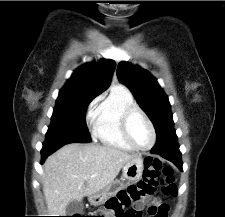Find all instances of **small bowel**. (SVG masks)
I'll list each match as a JSON object with an SVG mask.
<instances>
[{
    "instance_id": "obj_1",
    "label": "small bowel",
    "mask_w": 225,
    "mask_h": 217,
    "mask_svg": "<svg viewBox=\"0 0 225 217\" xmlns=\"http://www.w3.org/2000/svg\"><path fill=\"white\" fill-rule=\"evenodd\" d=\"M150 204H151V206H155V207H158V206L162 205L160 203V201L157 200V199H151L150 200ZM142 206H143V203L142 202H138V203L135 204L134 207L139 211L142 208Z\"/></svg>"
}]
</instances>
